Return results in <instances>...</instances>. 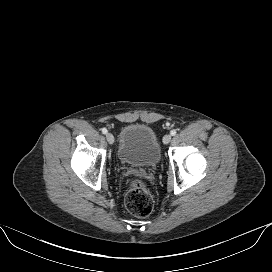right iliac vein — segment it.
Listing matches in <instances>:
<instances>
[{"mask_svg":"<svg viewBox=\"0 0 272 272\" xmlns=\"http://www.w3.org/2000/svg\"><path fill=\"white\" fill-rule=\"evenodd\" d=\"M106 139L108 141L109 144H113L114 143V136L111 133H108L106 135Z\"/></svg>","mask_w":272,"mask_h":272,"instance_id":"1","label":"right iliac vein"}]
</instances>
